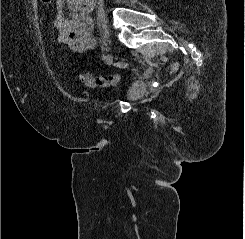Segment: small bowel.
<instances>
[{
	"mask_svg": "<svg viewBox=\"0 0 245 239\" xmlns=\"http://www.w3.org/2000/svg\"><path fill=\"white\" fill-rule=\"evenodd\" d=\"M98 0H56L54 26L58 43L70 50L83 53L96 45L93 36L92 13Z\"/></svg>",
	"mask_w": 245,
	"mask_h": 239,
	"instance_id": "c3829d8e",
	"label": "small bowel"
}]
</instances>
